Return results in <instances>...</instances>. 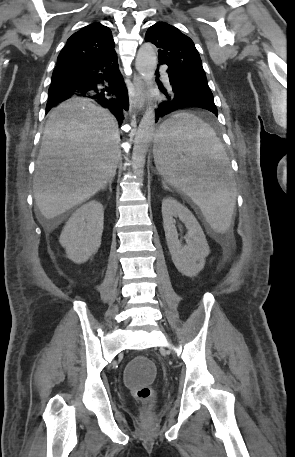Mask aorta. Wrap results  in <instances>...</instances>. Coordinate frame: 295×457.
<instances>
[{
    "label": "aorta",
    "mask_w": 295,
    "mask_h": 457,
    "mask_svg": "<svg viewBox=\"0 0 295 457\" xmlns=\"http://www.w3.org/2000/svg\"><path fill=\"white\" fill-rule=\"evenodd\" d=\"M157 57L154 46L144 43L138 50L135 66L142 79L150 84L154 79ZM155 133V110L152 106L147 107L138 127L134 139L132 163L134 173L143 177L146 153Z\"/></svg>",
    "instance_id": "762f6f07"
}]
</instances>
